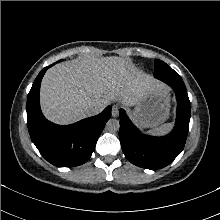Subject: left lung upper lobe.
<instances>
[{"mask_svg": "<svg viewBox=\"0 0 220 220\" xmlns=\"http://www.w3.org/2000/svg\"><path fill=\"white\" fill-rule=\"evenodd\" d=\"M154 63H155V66H154L155 67L154 68V76L157 79H160V80H162L164 82H167L163 77H165L168 74V70L172 69V68L169 67L165 62H163L161 60H155ZM176 82H182L183 83V80L180 77V75H179V78L177 79Z\"/></svg>", "mask_w": 220, "mask_h": 220, "instance_id": "1", "label": "left lung upper lobe"}]
</instances>
